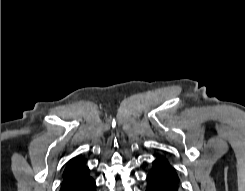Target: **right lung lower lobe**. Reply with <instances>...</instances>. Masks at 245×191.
Returning a JSON list of instances; mask_svg holds the SVG:
<instances>
[{
  "mask_svg": "<svg viewBox=\"0 0 245 191\" xmlns=\"http://www.w3.org/2000/svg\"><path fill=\"white\" fill-rule=\"evenodd\" d=\"M60 191H96L94 179L89 175L88 167L65 176Z\"/></svg>",
  "mask_w": 245,
  "mask_h": 191,
  "instance_id": "obj_1",
  "label": "right lung lower lobe"
}]
</instances>
